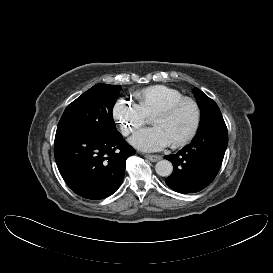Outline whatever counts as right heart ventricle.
<instances>
[{"mask_svg":"<svg viewBox=\"0 0 273 273\" xmlns=\"http://www.w3.org/2000/svg\"><path fill=\"white\" fill-rule=\"evenodd\" d=\"M138 107L152 119L154 115L169 103L183 97L178 90L164 86L154 85L142 89L134 94Z\"/></svg>","mask_w":273,"mask_h":273,"instance_id":"right-heart-ventricle-1","label":"right heart ventricle"}]
</instances>
